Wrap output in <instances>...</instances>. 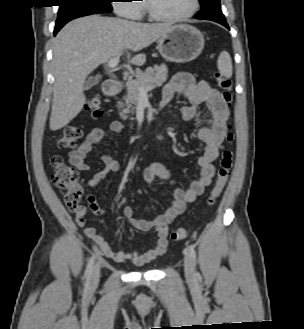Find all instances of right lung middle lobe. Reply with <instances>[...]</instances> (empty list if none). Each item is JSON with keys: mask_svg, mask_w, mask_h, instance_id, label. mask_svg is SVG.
I'll use <instances>...</instances> for the list:
<instances>
[{"mask_svg": "<svg viewBox=\"0 0 304 329\" xmlns=\"http://www.w3.org/2000/svg\"><path fill=\"white\" fill-rule=\"evenodd\" d=\"M60 8L56 25H60L73 18L103 12H111V0H58Z\"/></svg>", "mask_w": 304, "mask_h": 329, "instance_id": "right-lung-middle-lobe-1", "label": "right lung middle lobe"}]
</instances>
